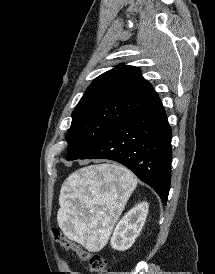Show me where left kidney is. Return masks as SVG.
Returning a JSON list of instances; mask_svg holds the SVG:
<instances>
[{"label":"left kidney","instance_id":"1","mask_svg":"<svg viewBox=\"0 0 215 274\" xmlns=\"http://www.w3.org/2000/svg\"><path fill=\"white\" fill-rule=\"evenodd\" d=\"M148 208V203H140L129 210L117 223L110 239L113 249L125 251L134 244L144 226Z\"/></svg>","mask_w":215,"mask_h":274}]
</instances>
